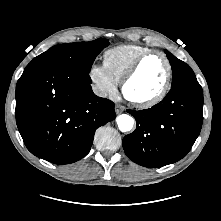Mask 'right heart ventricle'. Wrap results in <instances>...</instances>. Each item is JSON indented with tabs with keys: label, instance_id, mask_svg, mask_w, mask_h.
Returning a JSON list of instances; mask_svg holds the SVG:
<instances>
[{
	"label": "right heart ventricle",
	"instance_id": "right-heart-ventricle-1",
	"mask_svg": "<svg viewBox=\"0 0 221 221\" xmlns=\"http://www.w3.org/2000/svg\"><path fill=\"white\" fill-rule=\"evenodd\" d=\"M150 48L138 44H122L106 50L103 54V65L110 76L121 83L124 75L134 61Z\"/></svg>",
	"mask_w": 221,
	"mask_h": 221
}]
</instances>
